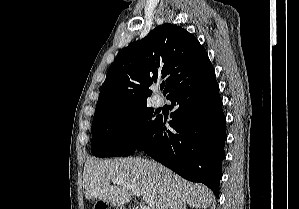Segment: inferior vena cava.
<instances>
[{
  "mask_svg": "<svg viewBox=\"0 0 299 209\" xmlns=\"http://www.w3.org/2000/svg\"><path fill=\"white\" fill-rule=\"evenodd\" d=\"M157 209H168L167 203L164 199H160L157 205Z\"/></svg>",
  "mask_w": 299,
  "mask_h": 209,
  "instance_id": "602c4592",
  "label": "inferior vena cava"
}]
</instances>
